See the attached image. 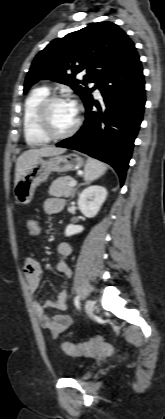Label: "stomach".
<instances>
[{
    "mask_svg": "<svg viewBox=\"0 0 165 419\" xmlns=\"http://www.w3.org/2000/svg\"><path fill=\"white\" fill-rule=\"evenodd\" d=\"M84 159L75 153L55 155L48 159H38L22 176L14 187V196L19 204L32 201L36 187L47 180L51 172L64 173L79 170Z\"/></svg>",
    "mask_w": 165,
    "mask_h": 419,
    "instance_id": "obj_1",
    "label": "stomach"
}]
</instances>
